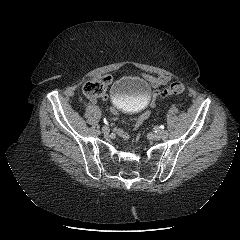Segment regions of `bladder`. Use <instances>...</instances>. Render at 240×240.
I'll return each mask as SVG.
<instances>
[{"label": "bladder", "mask_w": 240, "mask_h": 240, "mask_svg": "<svg viewBox=\"0 0 240 240\" xmlns=\"http://www.w3.org/2000/svg\"><path fill=\"white\" fill-rule=\"evenodd\" d=\"M151 88L147 81L134 76H124L113 83L110 95L114 105L132 113L142 109L148 102Z\"/></svg>", "instance_id": "31cf9c89"}]
</instances>
